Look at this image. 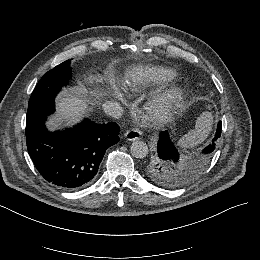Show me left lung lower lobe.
Returning <instances> with one entry per match:
<instances>
[{
	"mask_svg": "<svg viewBox=\"0 0 260 260\" xmlns=\"http://www.w3.org/2000/svg\"><path fill=\"white\" fill-rule=\"evenodd\" d=\"M220 134H221V122L218 123L215 139L212 140V143H210L203 150V152L212 153L214 151L215 141L220 137ZM157 152L161 158L169 161L177 160L181 157V154L178 152L177 148L171 142L166 131H163L160 134L158 146H157Z\"/></svg>",
	"mask_w": 260,
	"mask_h": 260,
	"instance_id": "left-lung-lower-lobe-1",
	"label": "left lung lower lobe"
}]
</instances>
